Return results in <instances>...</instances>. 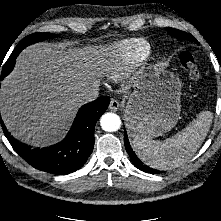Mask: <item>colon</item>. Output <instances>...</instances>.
<instances>
[{
  "mask_svg": "<svg viewBox=\"0 0 221 221\" xmlns=\"http://www.w3.org/2000/svg\"><path fill=\"white\" fill-rule=\"evenodd\" d=\"M180 63L187 72L192 81H198L201 77V71L196 57L189 51H183L180 54Z\"/></svg>",
  "mask_w": 221,
  "mask_h": 221,
  "instance_id": "1",
  "label": "colon"
}]
</instances>
